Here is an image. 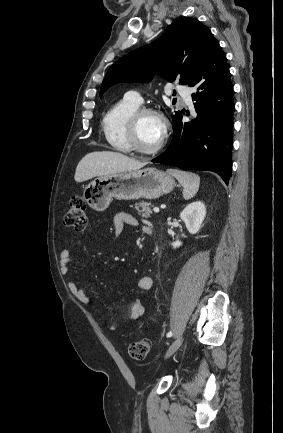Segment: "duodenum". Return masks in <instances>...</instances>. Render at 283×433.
Masks as SVG:
<instances>
[{"mask_svg":"<svg viewBox=\"0 0 283 433\" xmlns=\"http://www.w3.org/2000/svg\"><path fill=\"white\" fill-rule=\"evenodd\" d=\"M147 233H148V234H152V233H153V230H152L151 228H149L148 231H147Z\"/></svg>","mask_w":283,"mask_h":433,"instance_id":"410a0bca","label":"duodenum"}]
</instances>
